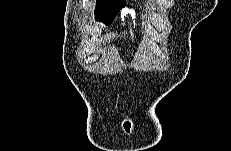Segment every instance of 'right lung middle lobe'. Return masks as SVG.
<instances>
[{
    "label": "right lung middle lobe",
    "instance_id": "right-lung-middle-lobe-1",
    "mask_svg": "<svg viewBox=\"0 0 231 151\" xmlns=\"http://www.w3.org/2000/svg\"><path fill=\"white\" fill-rule=\"evenodd\" d=\"M125 6V2H114L109 0H97L96 19L110 25L116 14Z\"/></svg>",
    "mask_w": 231,
    "mask_h": 151
}]
</instances>
